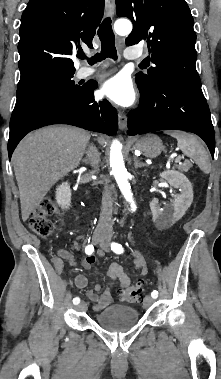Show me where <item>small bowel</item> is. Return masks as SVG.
<instances>
[{
	"label": "small bowel",
	"mask_w": 221,
	"mask_h": 379,
	"mask_svg": "<svg viewBox=\"0 0 221 379\" xmlns=\"http://www.w3.org/2000/svg\"><path fill=\"white\" fill-rule=\"evenodd\" d=\"M63 259H66L72 265H75L73 256L68 251L61 250L60 258L54 260V266L59 272H61L63 269ZM94 262L95 257L93 255H88L83 261V267L85 269H90ZM134 264L140 276L147 274V265L143 257L137 252L134 253ZM108 276L110 281L101 294H99V292L102 290L100 284H96L93 289L87 291L86 293L87 298L93 302V309L96 312L103 310L113 302L112 289L116 288L118 291L122 292L130 285L131 282L123 267L118 263H112L109 266ZM75 285L80 289L85 288L87 286L86 276L82 274L77 275L75 277Z\"/></svg>",
	"instance_id": "small-bowel-1"
}]
</instances>
